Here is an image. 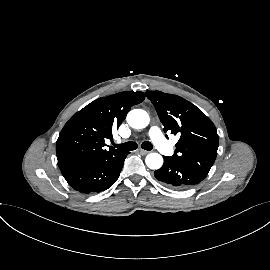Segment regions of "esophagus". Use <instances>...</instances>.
Listing matches in <instances>:
<instances>
[{
	"instance_id": "1",
	"label": "esophagus",
	"mask_w": 270,
	"mask_h": 270,
	"mask_svg": "<svg viewBox=\"0 0 270 270\" xmlns=\"http://www.w3.org/2000/svg\"><path fill=\"white\" fill-rule=\"evenodd\" d=\"M138 152H139L141 155H146V154L149 153L148 151L143 150V149H139Z\"/></svg>"
}]
</instances>
